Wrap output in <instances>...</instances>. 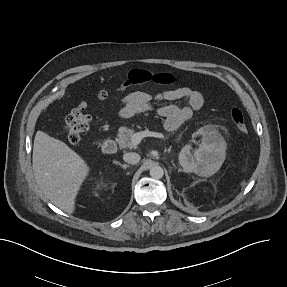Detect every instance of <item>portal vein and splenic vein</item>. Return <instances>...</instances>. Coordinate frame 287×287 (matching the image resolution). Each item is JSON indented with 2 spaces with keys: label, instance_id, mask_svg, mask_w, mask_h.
I'll return each mask as SVG.
<instances>
[{
  "label": "portal vein and splenic vein",
  "instance_id": "obj_1",
  "mask_svg": "<svg viewBox=\"0 0 287 287\" xmlns=\"http://www.w3.org/2000/svg\"><path fill=\"white\" fill-rule=\"evenodd\" d=\"M144 137L164 138V135L158 132L144 130V131L133 134L131 138V143L136 146L142 141Z\"/></svg>",
  "mask_w": 287,
  "mask_h": 287
}]
</instances>
